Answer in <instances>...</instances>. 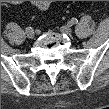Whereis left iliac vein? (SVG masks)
Listing matches in <instances>:
<instances>
[{"instance_id": "4c4485c4", "label": "left iliac vein", "mask_w": 109, "mask_h": 109, "mask_svg": "<svg viewBox=\"0 0 109 109\" xmlns=\"http://www.w3.org/2000/svg\"><path fill=\"white\" fill-rule=\"evenodd\" d=\"M60 30L62 33L67 34V35H71L72 33V30L69 26H62Z\"/></svg>"}]
</instances>
